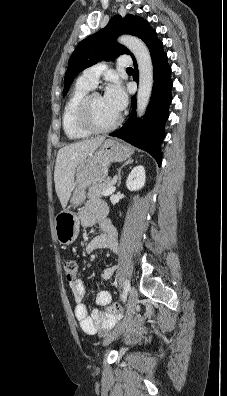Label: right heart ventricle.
Returning a JSON list of instances; mask_svg holds the SVG:
<instances>
[{"label":"right heart ventricle","mask_w":227,"mask_h":396,"mask_svg":"<svg viewBox=\"0 0 227 396\" xmlns=\"http://www.w3.org/2000/svg\"><path fill=\"white\" fill-rule=\"evenodd\" d=\"M91 89L92 87L78 80L65 102L62 112V125L66 136L71 140L83 139L91 134L81 126L78 120L79 103Z\"/></svg>","instance_id":"right-heart-ventricle-1"}]
</instances>
